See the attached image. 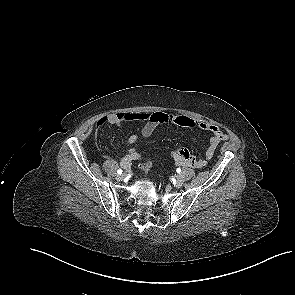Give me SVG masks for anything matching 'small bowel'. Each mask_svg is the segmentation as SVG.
I'll return each mask as SVG.
<instances>
[{"label": "small bowel", "mask_w": 295, "mask_h": 295, "mask_svg": "<svg viewBox=\"0 0 295 295\" xmlns=\"http://www.w3.org/2000/svg\"><path fill=\"white\" fill-rule=\"evenodd\" d=\"M140 121L143 122V127L139 133L132 134L128 137L127 143L133 145L139 138H148L157 126L162 124H171L179 127L194 128L206 130L211 133L209 144L205 153V158L197 159L192 156L185 148H181L176 151L175 159L177 164L192 168H203L206 166L209 160L214 156V153L223 141H226L229 136L223 132L216 125H211L203 122L193 120L184 115H175L165 112L154 113H138V112H121L113 113L100 118L96 122V129H99L103 125H121L126 122ZM140 154L134 149H130L129 152L122 157L120 163L124 168H129L133 161L139 160Z\"/></svg>", "instance_id": "c3829d8e"}]
</instances>
